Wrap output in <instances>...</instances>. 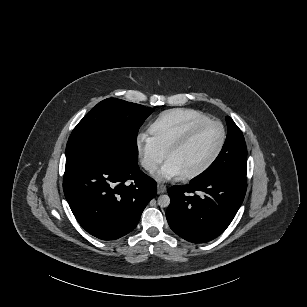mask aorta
Returning <instances> with one entry per match:
<instances>
[{"mask_svg":"<svg viewBox=\"0 0 307 307\" xmlns=\"http://www.w3.org/2000/svg\"><path fill=\"white\" fill-rule=\"evenodd\" d=\"M170 204V197L168 195H160L158 197V205L160 207H168Z\"/></svg>","mask_w":307,"mask_h":307,"instance_id":"aorta-1","label":"aorta"}]
</instances>
